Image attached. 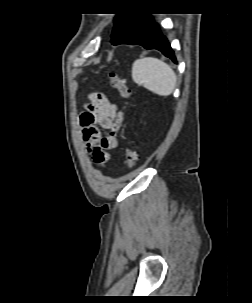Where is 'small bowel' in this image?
<instances>
[{"mask_svg": "<svg viewBox=\"0 0 252 303\" xmlns=\"http://www.w3.org/2000/svg\"><path fill=\"white\" fill-rule=\"evenodd\" d=\"M84 109L86 113L81 118L82 139L93 162L104 167L110 160L109 151L117 145V134L124 120V113L99 92L89 93ZM102 130H105L104 134Z\"/></svg>", "mask_w": 252, "mask_h": 303, "instance_id": "obj_1", "label": "small bowel"}]
</instances>
